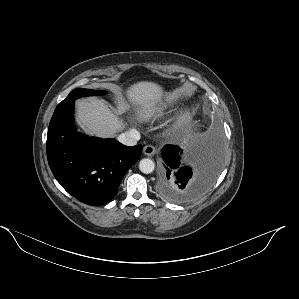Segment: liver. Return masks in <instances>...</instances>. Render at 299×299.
I'll return each instance as SVG.
<instances>
[{"label":"liver","instance_id":"liver-1","mask_svg":"<svg viewBox=\"0 0 299 299\" xmlns=\"http://www.w3.org/2000/svg\"><path fill=\"white\" fill-rule=\"evenodd\" d=\"M125 95L142 113H149L161 100L163 89L154 82L141 81L128 87ZM76 107L79 123L91 135L109 138L125 127L123 121L102 100L81 99L76 102Z\"/></svg>","mask_w":299,"mask_h":299}]
</instances>
